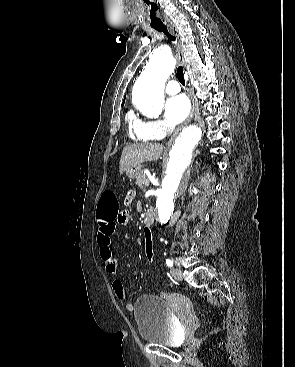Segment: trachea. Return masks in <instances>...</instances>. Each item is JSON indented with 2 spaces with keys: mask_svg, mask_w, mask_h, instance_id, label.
Listing matches in <instances>:
<instances>
[{
  "mask_svg": "<svg viewBox=\"0 0 295 367\" xmlns=\"http://www.w3.org/2000/svg\"><path fill=\"white\" fill-rule=\"evenodd\" d=\"M155 29L158 31V32H163L167 37L168 39H170L171 41H175L176 38L174 35H172L166 26H162V27H155ZM176 77L178 78V80L180 81V83L182 85H185V79H184V71H183V67L182 66H179L176 70Z\"/></svg>",
  "mask_w": 295,
  "mask_h": 367,
  "instance_id": "trachea-1",
  "label": "trachea"
}]
</instances>
